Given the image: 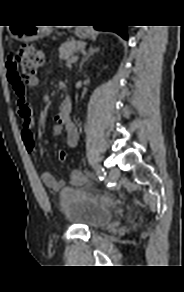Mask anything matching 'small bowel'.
Returning a JSON list of instances; mask_svg holds the SVG:
<instances>
[{"mask_svg": "<svg viewBox=\"0 0 184 292\" xmlns=\"http://www.w3.org/2000/svg\"><path fill=\"white\" fill-rule=\"evenodd\" d=\"M39 83V78L34 77L32 78L27 86L30 88L36 87ZM14 91L17 95L16 100V112L21 119V136L25 144L24 135L26 133L33 134V111L30 109L26 98L21 90H19L15 85H13ZM54 133L57 136L62 137L64 143L70 147L74 148L78 142V131L74 123L71 121L68 113H61L59 112L55 117V126H54ZM26 146V145H25ZM28 152H34L35 150L31 151L28 149ZM41 180L45 186L48 188L58 191L64 186V181L57 180L55 176L49 172L44 171L41 174ZM88 178L87 176L80 170H72L69 174V184L73 187H80L87 184Z\"/></svg>", "mask_w": 184, "mask_h": 292, "instance_id": "small-bowel-1", "label": "small bowel"}]
</instances>
